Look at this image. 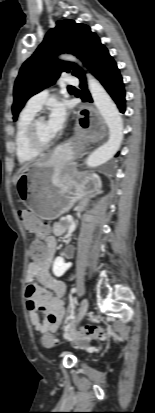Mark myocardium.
<instances>
[{
    "mask_svg": "<svg viewBox=\"0 0 155 413\" xmlns=\"http://www.w3.org/2000/svg\"><path fill=\"white\" fill-rule=\"evenodd\" d=\"M40 118H34L28 125L26 131V140L31 149L40 153L51 147L53 144V139L49 141H41L37 134V123Z\"/></svg>",
    "mask_w": 155,
    "mask_h": 413,
    "instance_id": "f54148a6",
    "label": "myocardium"
}]
</instances>
